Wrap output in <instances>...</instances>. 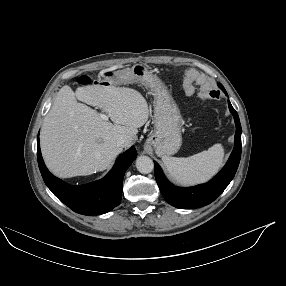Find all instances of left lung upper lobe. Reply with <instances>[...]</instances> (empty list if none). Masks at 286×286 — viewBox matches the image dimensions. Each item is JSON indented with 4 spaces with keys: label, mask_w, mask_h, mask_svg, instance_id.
<instances>
[{
    "label": "left lung upper lobe",
    "mask_w": 286,
    "mask_h": 286,
    "mask_svg": "<svg viewBox=\"0 0 286 286\" xmlns=\"http://www.w3.org/2000/svg\"><path fill=\"white\" fill-rule=\"evenodd\" d=\"M218 86L223 90L224 89V87L221 85V84H218Z\"/></svg>",
    "instance_id": "obj_1"
}]
</instances>
